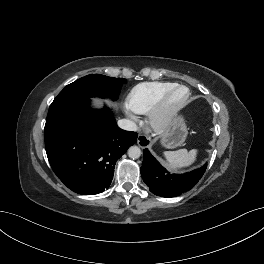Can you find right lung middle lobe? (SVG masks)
<instances>
[{
    "label": "right lung middle lobe",
    "instance_id": "obj_1",
    "mask_svg": "<svg viewBox=\"0 0 264 264\" xmlns=\"http://www.w3.org/2000/svg\"><path fill=\"white\" fill-rule=\"evenodd\" d=\"M126 79L90 74L67 85L49 107L47 119L59 113L67 105L93 96L118 99L120 88Z\"/></svg>",
    "mask_w": 264,
    "mask_h": 264
}]
</instances>
